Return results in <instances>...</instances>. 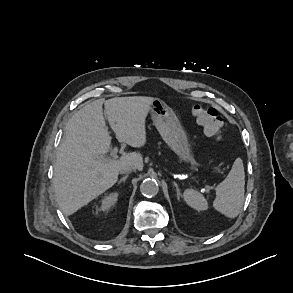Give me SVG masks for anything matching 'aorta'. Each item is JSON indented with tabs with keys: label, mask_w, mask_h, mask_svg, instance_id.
Segmentation results:
<instances>
[{
	"label": "aorta",
	"mask_w": 293,
	"mask_h": 293,
	"mask_svg": "<svg viewBox=\"0 0 293 293\" xmlns=\"http://www.w3.org/2000/svg\"><path fill=\"white\" fill-rule=\"evenodd\" d=\"M158 191L159 186L155 179L147 178L140 185V192L146 197H153Z\"/></svg>",
	"instance_id": "obj_1"
}]
</instances>
